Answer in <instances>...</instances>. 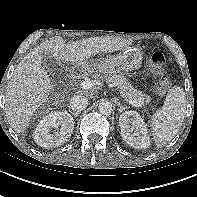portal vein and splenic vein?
Listing matches in <instances>:
<instances>
[{
  "label": "portal vein and splenic vein",
  "mask_w": 197,
  "mask_h": 197,
  "mask_svg": "<svg viewBox=\"0 0 197 197\" xmlns=\"http://www.w3.org/2000/svg\"><path fill=\"white\" fill-rule=\"evenodd\" d=\"M94 86V84L91 81H84L81 83V88L84 90H89ZM129 104L136 106V107H141L142 105H144V101L140 100V101H128Z\"/></svg>",
  "instance_id": "1"
}]
</instances>
